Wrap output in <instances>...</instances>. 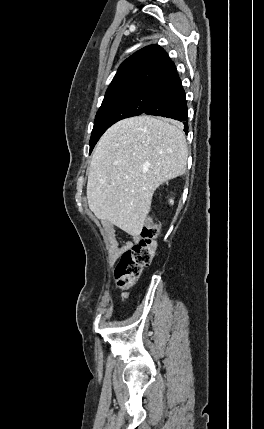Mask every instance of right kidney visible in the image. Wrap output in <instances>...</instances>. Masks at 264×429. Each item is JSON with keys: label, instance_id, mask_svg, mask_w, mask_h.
<instances>
[{"label": "right kidney", "instance_id": "1", "mask_svg": "<svg viewBox=\"0 0 264 429\" xmlns=\"http://www.w3.org/2000/svg\"><path fill=\"white\" fill-rule=\"evenodd\" d=\"M169 202H170V204H172V205H173V203H174V201H173L172 199H170V201H169Z\"/></svg>", "mask_w": 264, "mask_h": 429}]
</instances>
